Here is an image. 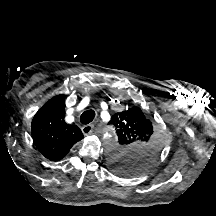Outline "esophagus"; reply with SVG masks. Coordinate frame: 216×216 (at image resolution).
I'll list each match as a JSON object with an SVG mask.
<instances>
[{
	"instance_id": "1",
	"label": "esophagus",
	"mask_w": 216,
	"mask_h": 216,
	"mask_svg": "<svg viewBox=\"0 0 216 216\" xmlns=\"http://www.w3.org/2000/svg\"><path fill=\"white\" fill-rule=\"evenodd\" d=\"M94 131V125L93 124H87V125H84L82 127V132L85 134V135H91Z\"/></svg>"
}]
</instances>
